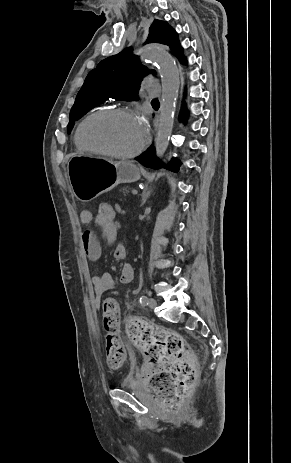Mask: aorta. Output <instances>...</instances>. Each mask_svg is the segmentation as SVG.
<instances>
[{"instance_id":"obj_1","label":"aorta","mask_w":291,"mask_h":463,"mask_svg":"<svg viewBox=\"0 0 291 463\" xmlns=\"http://www.w3.org/2000/svg\"><path fill=\"white\" fill-rule=\"evenodd\" d=\"M142 59L158 64L162 83V99L160 104L159 125L155 138L156 155L161 158L167 150L174 123L175 104L179 90V71L165 52L149 48L143 51Z\"/></svg>"}]
</instances>
